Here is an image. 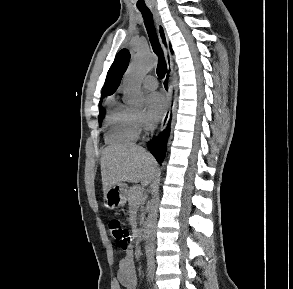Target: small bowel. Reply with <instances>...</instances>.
<instances>
[{
    "label": "small bowel",
    "mask_w": 293,
    "mask_h": 289,
    "mask_svg": "<svg viewBox=\"0 0 293 289\" xmlns=\"http://www.w3.org/2000/svg\"><path fill=\"white\" fill-rule=\"evenodd\" d=\"M137 274L134 262V252L129 250L119 262L116 281L113 289H136Z\"/></svg>",
    "instance_id": "c3829d8e"
}]
</instances>
